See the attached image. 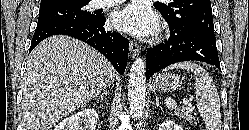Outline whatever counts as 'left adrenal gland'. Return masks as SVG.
I'll list each match as a JSON object with an SVG mask.
<instances>
[{
	"label": "left adrenal gland",
	"mask_w": 249,
	"mask_h": 130,
	"mask_svg": "<svg viewBox=\"0 0 249 130\" xmlns=\"http://www.w3.org/2000/svg\"><path fill=\"white\" fill-rule=\"evenodd\" d=\"M158 107L161 108V106H160V104H159V98L156 97V105H155V108H158Z\"/></svg>",
	"instance_id": "1"
}]
</instances>
